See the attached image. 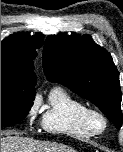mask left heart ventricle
Listing matches in <instances>:
<instances>
[{"label":"left heart ventricle","instance_id":"1","mask_svg":"<svg viewBox=\"0 0 123 152\" xmlns=\"http://www.w3.org/2000/svg\"><path fill=\"white\" fill-rule=\"evenodd\" d=\"M94 125L96 126V128H100L101 127V122L99 120H94Z\"/></svg>","mask_w":123,"mask_h":152}]
</instances>
